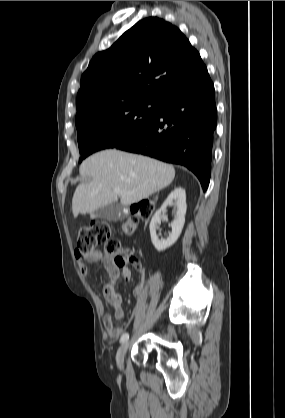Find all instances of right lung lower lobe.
<instances>
[{"label":"right lung lower lobe","mask_w":285,"mask_h":418,"mask_svg":"<svg viewBox=\"0 0 285 418\" xmlns=\"http://www.w3.org/2000/svg\"><path fill=\"white\" fill-rule=\"evenodd\" d=\"M216 125L215 91L207 71L194 83L161 101L153 121L115 148L184 165L198 177L206 191Z\"/></svg>","instance_id":"98d812e1"}]
</instances>
